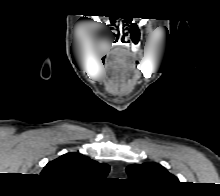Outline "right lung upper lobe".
<instances>
[{
	"label": "right lung upper lobe",
	"instance_id": "cb5924a9",
	"mask_svg": "<svg viewBox=\"0 0 220 196\" xmlns=\"http://www.w3.org/2000/svg\"><path fill=\"white\" fill-rule=\"evenodd\" d=\"M109 169L82 154L67 153L49 162L41 175L61 183L91 186L104 179Z\"/></svg>",
	"mask_w": 220,
	"mask_h": 196
}]
</instances>
